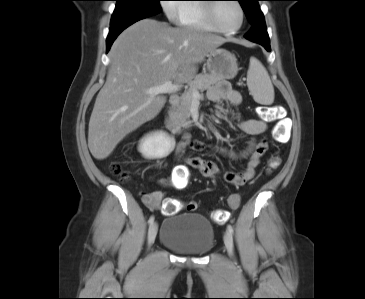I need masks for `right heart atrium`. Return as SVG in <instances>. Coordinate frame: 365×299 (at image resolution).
Segmentation results:
<instances>
[{
	"label": "right heart atrium",
	"mask_w": 365,
	"mask_h": 299,
	"mask_svg": "<svg viewBox=\"0 0 365 299\" xmlns=\"http://www.w3.org/2000/svg\"><path fill=\"white\" fill-rule=\"evenodd\" d=\"M177 0H162L161 6L166 14V16L172 20H178L180 7L175 3Z\"/></svg>",
	"instance_id": "obj_1"
}]
</instances>
